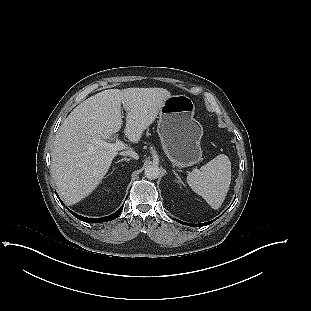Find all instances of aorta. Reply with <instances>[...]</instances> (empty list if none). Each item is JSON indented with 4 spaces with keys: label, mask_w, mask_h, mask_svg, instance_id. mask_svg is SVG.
Wrapping results in <instances>:
<instances>
[{
    "label": "aorta",
    "mask_w": 311,
    "mask_h": 311,
    "mask_svg": "<svg viewBox=\"0 0 311 311\" xmlns=\"http://www.w3.org/2000/svg\"><path fill=\"white\" fill-rule=\"evenodd\" d=\"M144 175L147 179L155 180L160 175V168L157 165H149L145 168Z\"/></svg>",
    "instance_id": "obj_1"
}]
</instances>
